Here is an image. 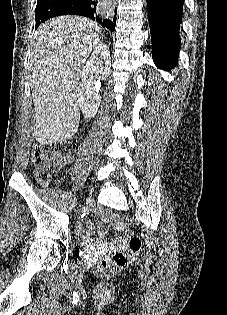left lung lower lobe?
<instances>
[{"instance_id": "left-lung-lower-lobe-1", "label": "left lung lower lobe", "mask_w": 227, "mask_h": 315, "mask_svg": "<svg viewBox=\"0 0 227 315\" xmlns=\"http://www.w3.org/2000/svg\"><path fill=\"white\" fill-rule=\"evenodd\" d=\"M184 0H147L154 63L169 70L178 63Z\"/></svg>"}]
</instances>
